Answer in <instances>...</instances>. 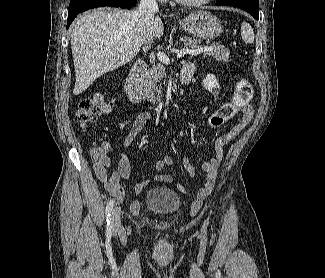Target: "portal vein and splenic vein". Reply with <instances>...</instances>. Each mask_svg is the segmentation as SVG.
Wrapping results in <instances>:
<instances>
[{"instance_id":"obj_1","label":"portal vein and splenic vein","mask_w":325,"mask_h":278,"mask_svg":"<svg viewBox=\"0 0 325 278\" xmlns=\"http://www.w3.org/2000/svg\"><path fill=\"white\" fill-rule=\"evenodd\" d=\"M215 48V45H210V46H204V47H198L195 49H182L177 53V58H181L186 54L190 55H198L203 52L211 51ZM157 58L164 64L168 65L170 64V59L169 57L164 53V52H158L157 53Z\"/></svg>"}]
</instances>
